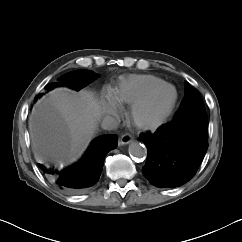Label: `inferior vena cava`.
I'll use <instances>...</instances> for the list:
<instances>
[{"mask_svg":"<svg viewBox=\"0 0 242 242\" xmlns=\"http://www.w3.org/2000/svg\"><path fill=\"white\" fill-rule=\"evenodd\" d=\"M101 127L105 130H114L118 127V121L111 116H105L102 120Z\"/></svg>","mask_w":242,"mask_h":242,"instance_id":"602c4592","label":"inferior vena cava"}]
</instances>
